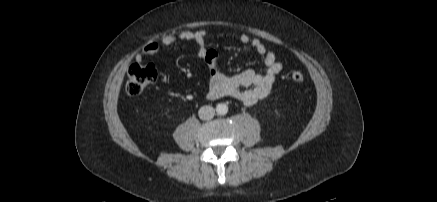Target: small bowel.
Listing matches in <instances>:
<instances>
[{"label": "small bowel", "mask_w": 437, "mask_h": 202, "mask_svg": "<svg viewBox=\"0 0 437 202\" xmlns=\"http://www.w3.org/2000/svg\"><path fill=\"white\" fill-rule=\"evenodd\" d=\"M208 33L205 30L182 31L178 34H169L145 46L136 55V61L156 54L161 46H171L178 42H193L197 47L198 56L203 59L209 70V87L207 96L215 100L223 97H232L246 106L256 104L268 96L277 75L282 71L283 64L277 60L276 53L266 47L258 38H251L246 34L240 35L241 43L250 45L262 57L265 70L258 73L252 69L238 74L225 75L218 68V55L206 46Z\"/></svg>", "instance_id": "obj_1"}]
</instances>
